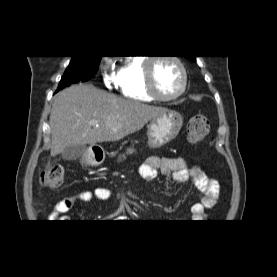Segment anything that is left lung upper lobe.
Returning <instances> with one entry per match:
<instances>
[{"label": "left lung upper lobe", "instance_id": "obj_1", "mask_svg": "<svg viewBox=\"0 0 277 277\" xmlns=\"http://www.w3.org/2000/svg\"><path fill=\"white\" fill-rule=\"evenodd\" d=\"M195 57H196V56L187 57V58H189V59H191V60H195V59H196Z\"/></svg>", "mask_w": 277, "mask_h": 277}]
</instances>
